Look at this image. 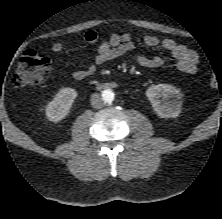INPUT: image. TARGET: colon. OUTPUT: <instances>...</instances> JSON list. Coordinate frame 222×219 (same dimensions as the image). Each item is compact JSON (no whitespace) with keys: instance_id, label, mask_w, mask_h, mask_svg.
Returning <instances> with one entry per match:
<instances>
[{"instance_id":"obj_1","label":"colon","mask_w":222,"mask_h":219,"mask_svg":"<svg viewBox=\"0 0 222 219\" xmlns=\"http://www.w3.org/2000/svg\"><path fill=\"white\" fill-rule=\"evenodd\" d=\"M51 60L44 53L34 49L26 50L19 59L18 65L12 76V84L17 89L44 82L50 75ZM212 86L216 84V78L210 77Z\"/></svg>"}]
</instances>
